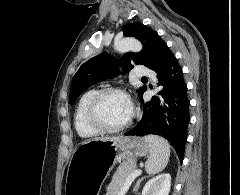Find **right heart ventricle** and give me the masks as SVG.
<instances>
[{
  "label": "right heart ventricle",
  "instance_id": "obj_1",
  "mask_svg": "<svg viewBox=\"0 0 240 195\" xmlns=\"http://www.w3.org/2000/svg\"><path fill=\"white\" fill-rule=\"evenodd\" d=\"M98 91L91 89L86 91L79 99L75 111V127L78 134L83 138H93L101 134L93 128L87 120V107L91 99Z\"/></svg>",
  "mask_w": 240,
  "mask_h": 195
}]
</instances>
